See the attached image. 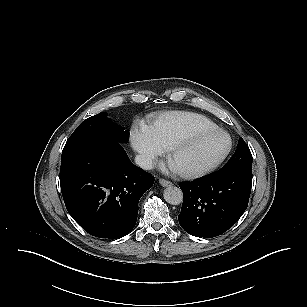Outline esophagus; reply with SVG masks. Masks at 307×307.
Returning a JSON list of instances; mask_svg holds the SVG:
<instances>
[{"mask_svg":"<svg viewBox=\"0 0 307 307\" xmlns=\"http://www.w3.org/2000/svg\"><path fill=\"white\" fill-rule=\"evenodd\" d=\"M159 184L162 185L163 187H168L172 185L170 181L162 179V178L159 179Z\"/></svg>","mask_w":307,"mask_h":307,"instance_id":"1","label":"esophagus"}]
</instances>
